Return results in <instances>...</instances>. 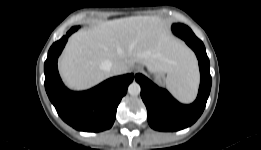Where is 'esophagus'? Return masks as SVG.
Wrapping results in <instances>:
<instances>
[{"instance_id": "esophagus-1", "label": "esophagus", "mask_w": 261, "mask_h": 150, "mask_svg": "<svg viewBox=\"0 0 261 150\" xmlns=\"http://www.w3.org/2000/svg\"><path fill=\"white\" fill-rule=\"evenodd\" d=\"M139 71H141V68L140 67H136L135 68V72H139Z\"/></svg>"}]
</instances>
